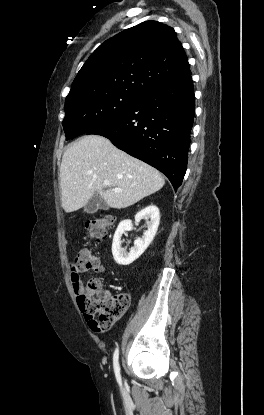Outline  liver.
Segmentation results:
<instances>
[{"label":"liver","instance_id":"6515ba94","mask_svg":"<svg viewBox=\"0 0 264 415\" xmlns=\"http://www.w3.org/2000/svg\"><path fill=\"white\" fill-rule=\"evenodd\" d=\"M59 179L66 213L84 207L95 193L111 208H126L165 184L157 169L99 135H85L64 152ZM104 181L109 185L104 186ZM115 188L122 192L116 193Z\"/></svg>","mask_w":264,"mask_h":415}]
</instances>
